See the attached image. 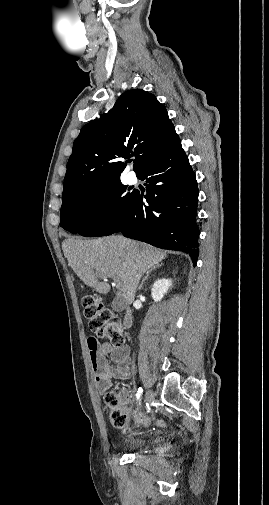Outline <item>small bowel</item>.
Here are the masks:
<instances>
[{
  "label": "small bowel",
  "mask_w": 269,
  "mask_h": 505,
  "mask_svg": "<svg viewBox=\"0 0 269 505\" xmlns=\"http://www.w3.org/2000/svg\"><path fill=\"white\" fill-rule=\"evenodd\" d=\"M90 361L95 374L98 391L104 394L111 388V379L127 380L130 377V350L126 345L113 347L105 342L100 343L90 337L87 341ZM110 360L114 365L110 364ZM117 400L125 410L126 415L133 414L132 398L126 389L118 392ZM148 420L145 419V423ZM128 430V429H126Z\"/></svg>",
  "instance_id": "obj_1"
}]
</instances>
